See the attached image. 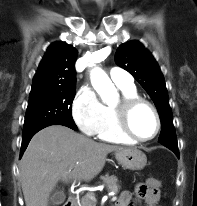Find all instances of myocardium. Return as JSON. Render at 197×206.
I'll return each mask as SVG.
<instances>
[{
	"label": "myocardium",
	"mask_w": 197,
	"mask_h": 206,
	"mask_svg": "<svg viewBox=\"0 0 197 206\" xmlns=\"http://www.w3.org/2000/svg\"><path fill=\"white\" fill-rule=\"evenodd\" d=\"M141 105L148 107L152 111L156 120V128L153 135L146 138L137 136L133 132L130 125L132 112ZM113 112L118 130L122 135H124L126 138L132 141L147 142L154 139L160 132L161 118L158 113V110L150 101L146 100L145 98H142L140 96H123L119 100V102L113 106Z\"/></svg>",
	"instance_id": "f54148a6"
}]
</instances>
